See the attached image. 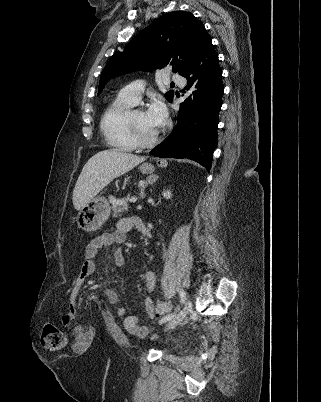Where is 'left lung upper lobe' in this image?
Instances as JSON below:
<instances>
[{"instance_id":"5c2ea615","label":"left lung upper lobe","mask_w":321,"mask_h":402,"mask_svg":"<svg viewBox=\"0 0 321 402\" xmlns=\"http://www.w3.org/2000/svg\"><path fill=\"white\" fill-rule=\"evenodd\" d=\"M209 39L204 25L193 14L167 13L110 58L101 73L98 94L110 79L138 69L172 67L173 72L182 75ZM173 95L169 91L165 97L170 102Z\"/></svg>"}]
</instances>
